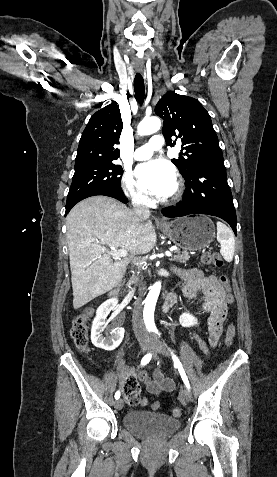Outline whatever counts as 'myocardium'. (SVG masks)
Here are the masks:
<instances>
[{
	"mask_svg": "<svg viewBox=\"0 0 277 477\" xmlns=\"http://www.w3.org/2000/svg\"><path fill=\"white\" fill-rule=\"evenodd\" d=\"M182 194H183V184L181 181H177L175 190L172 193L169 200L167 201V203H173L178 201L181 198Z\"/></svg>",
	"mask_w": 277,
	"mask_h": 477,
	"instance_id": "f54148a6",
	"label": "myocardium"
}]
</instances>
